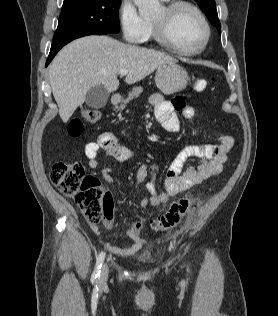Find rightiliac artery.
<instances>
[{"instance_id": "82829eb1", "label": "right iliac artery", "mask_w": 278, "mask_h": 316, "mask_svg": "<svg viewBox=\"0 0 278 316\" xmlns=\"http://www.w3.org/2000/svg\"><path fill=\"white\" fill-rule=\"evenodd\" d=\"M104 258H105V253L101 252L96 259L95 269L93 271L92 278H91L92 282H94L99 277Z\"/></svg>"}]
</instances>
